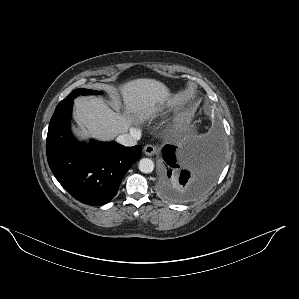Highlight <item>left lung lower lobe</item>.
I'll use <instances>...</instances> for the list:
<instances>
[{
    "label": "left lung lower lobe",
    "instance_id": "obj_1",
    "mask_svg": "<svg viewBox=\"0 0 299 299\" xmlns=\"http://www.w3.org/2000/svg\"><path fill=\"white\" fill-rule=\"evenodd\" d=\"M162 153L158 191L169 201L184 202L201 195L214 183L222 165L223 145L219 138H211L181 151L165 145Z\"/></svg>",
    "mask_w": 299,
    "mask_h": 299
}]
</instances>
